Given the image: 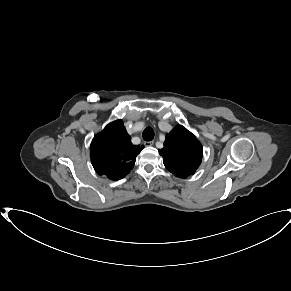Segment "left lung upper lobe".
<instances>
[{
  "label": "left lung upper lobe",
  "instance_id": "1",
  "mask_svg": "<svg viewBox=\"0 0 291 291\" xmlns=\"http://www.w3.org/2000/svg\"><path fill=\"white\" fill-rule=\"evenodd\" d=\"M165 167L179 178H186L199 167L203 149L196 137L178 125L166 135L164 148L159 150Z\"/></svg>",
  "mask_w": 291,
  "mask_h": 291
}]
</instances>
